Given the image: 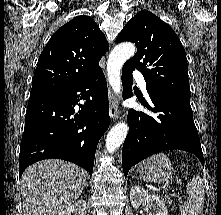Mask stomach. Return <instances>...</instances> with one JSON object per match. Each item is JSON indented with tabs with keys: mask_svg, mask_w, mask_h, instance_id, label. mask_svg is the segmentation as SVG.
I'll use <instances>...</instances> for the list:
<instances>
[{
	"mask_svg": "<svg viewBox=\"0 0 221 215\" xmlns=\"http://www.w3.org/2000/svg\"><path fill=\"white\" fill-rule=\"evenodd\" d=\"M139 177L145 182H167L174 170L165 154L154 155L143 161L137 169Z\"/></svg>",
	"mask_w": 221,
	"mask_h": 215,
	"instance_id": "obj_1",
	"label": "stomach"
}]
</instances>
